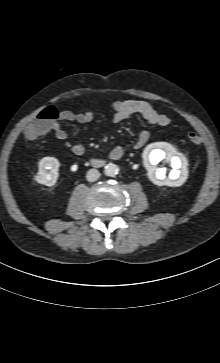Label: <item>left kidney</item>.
Instances as JSON below:
<instances>
[{
  "label": "left kidney",
  "instance_id": "obj_1",
  "mask_svg": "<svg viewBox=\"0 0 220 363\" xmlns=\"http://www.w3.org/2000/svg\"><path fill=\"white\" fill-rule=\"evenodd\" d=\"M143 164L148 172V178L158 186L179 187L188 178V161L186 157L167 142H155L147 145L142 154ZM165 159L171 163L172 170L166 177V170L156 165Z\"/></svg>",
  "mask_w": 220,
  "mask_h": 363
}]
</instances>
